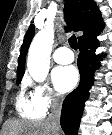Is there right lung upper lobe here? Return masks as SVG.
Instances as JSON below:
<instances>
[{"instance_id":"right-lung-upper-lobe-1","label":"right lung upper lobe","mask_w":112,"mask_h":135,"mask_svg":"<svg viewBox=\"0 0 112 135\" xmlns=\"http://www.w3.org/2000/svg\"><path fill=\"white\" fill-rule=\"evenodd\" d=\"M65 12L68 26L75 32H83L78 37L79 43L98 35L104 27L101 13L93 0H65ZM34 33V26L30 25L21 46L17 78L22 79L24 75L26 54Z\"/></svg>"}]
</instances>
